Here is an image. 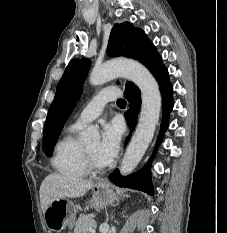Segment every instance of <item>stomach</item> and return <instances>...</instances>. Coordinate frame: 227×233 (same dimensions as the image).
<instances>
[{
  "label": "stomach",
  "instance_id": "0dacf381",
  "mask_svg": "<svg viewBox=\"0 0 227 233\" xmlns=\"http://www.w3.org/2000/svg\"><path fill=\"white\" fill-rule=\"evenodd\" d=\"M117 199L113 189L106 184H97L93 188L89 205L100 209ZM76 205L66 199L54 200L44 212L46 226L53 231L71 228L76 217Z\"/></svg>",
  "mask_w": 227,
  "mask_h": 233
}]
</instances>
